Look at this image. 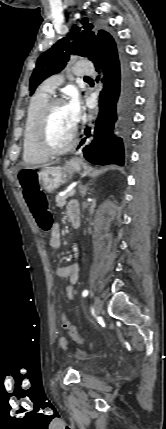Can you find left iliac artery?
<instances>
[{
    "label": "left iliac artery",
    "mask_w": 166,
    "mask_h": 429,
    "mask_svg": "<svg viewBox=\"0 0 166 429\" xmlns=\"http://www.w3.org/2000/svg\"><path fill=\"white\" fill-rule=\"evenodd\" d=\"M88 293H89V291H88V290H84V291H83V293H82V296H83V297H86V296L88 295Z\"/></svg>",
    "instance_id": "obj_1"
}]
</instances>
